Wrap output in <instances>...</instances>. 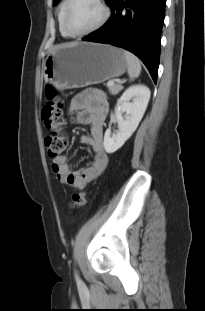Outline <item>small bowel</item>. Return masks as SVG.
<instances>
[{"mask_svg":"<svg viewBox=\"0 0 205 311\" xmlns=\"http://www.w3.org/2000/svg\"><path fill=\"white\" fill-rule=\"evenodd\" d=\"M109 105L104 93L97 89H89L74 96L68 103L67 114L77 125H89L90 133L82 135L80 142L89 146L93 153V161L86 167L75 171L66 155L52 160V170L57 179L64 184L81 189L96 179L107 167L109 155L103 146L104 125Z\"/></svg>","mask_w":205,"mask_h":311,"instance_id":"1","label":"small bowel"}]
</instances>
